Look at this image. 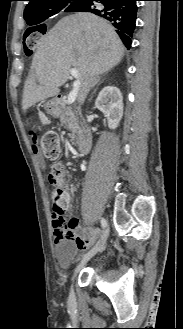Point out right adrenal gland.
I'll use <instances>...</instances> for the list:
<instances>
[{"label": "right adrenal gland", "instance_id": "right-adrenal-gland-1", "mask_svg": "<svg viewBox=\"0 0 183 329\" xmlns=\"http://www.w3.org/2000/svg\"><path fill=\"white\" fill-rule=\"evenodd\" d=\"M102 82H103V80H102V81H99V83H97L96 88L94 89L93 93L91 94V97H90V100H89V101H91L93 94H94V93L96 92V90H97V87H98Z\"/></svg>", "mask_w": 183, "mask_h": 329}]
</instances>
